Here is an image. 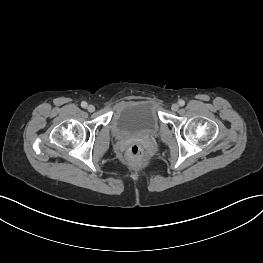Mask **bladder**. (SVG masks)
I'll return each mask as SVG.
<instances>
[{
	"label": "bladder",
	"instance_id": "obj_1",
	"mask_svg": "<svg viewBox=\"0 0 263 263\" xmlns=\"http://www.w3.org/2000/svg\"><path fill=\"white\" fill-rule=\"evenodd\" d=\"M161 124L155 102L129 101L115 110L111 120V130L117 136H152L158 133Z\"/></svg>",
	"mask_w": 263,
	"mask_h": 263
}]
</instances>
